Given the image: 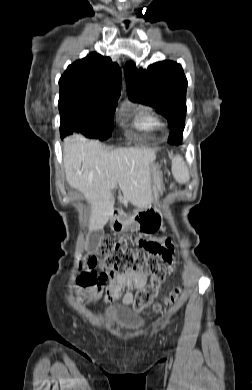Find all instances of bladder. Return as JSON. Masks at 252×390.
Returning a JSON list of instances; mask_svg holds the SVG:
<instances>
[{
  "label": "bladder",
  "instance_id": "1",
  "mask_svg": "<svg viewBox=\"0 0 252 390\" xmlns=\"http://www.w3.org/2000/svg\"><path fill=\"white\" fill-rule=\"evenodd\" d=\"M106 326L112 331H138L144 323L134 315L124 311H111L104 315Z\"/></svg>",
  "mask_w": 252,
  "mask_h": 390
}]
</instances>
